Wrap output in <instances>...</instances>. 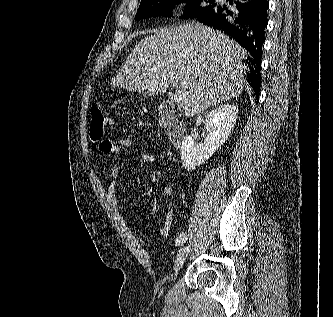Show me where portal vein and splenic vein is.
<instances>
[{
    "label": "portal vein and splenic vein",
    "mask_w": 333,
    "mask_h": 317,
    "mask_svg": "<svg viewBox=\"0 0 333 317\" xmlns=\"http://www.w3.org/2000/svg\"><path fill=\"white\" fill-rule=\"evenodd\" d=\"M173 100L175 103H181V101L183 100V93L180 90H177L174 94Z\"/></svg>",
    "instance_id": "portal-vein-and-splenic-vein-1"
}]
</instances>
